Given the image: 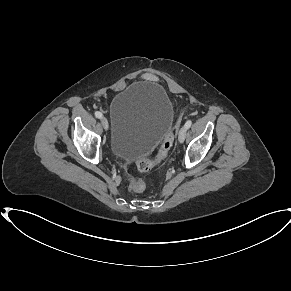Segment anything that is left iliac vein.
<instances>
[{
    "label": "left iliac vein",
    "instance_id": "1",
    "mask_svg": "<svg viewBox=\"0 0 291 291\" xmlns=\"http://www.w3.org/2000/svg\"><path fill=\"white\" fill-rule=\"evenodd\" d=\"M186 132H187V128L185 126H183L178 134V140L180 143H183L185 140V136H186Z\"/></svg>",
    "mask_w": 291,
    "mask_h": 291
}]
</instances>
